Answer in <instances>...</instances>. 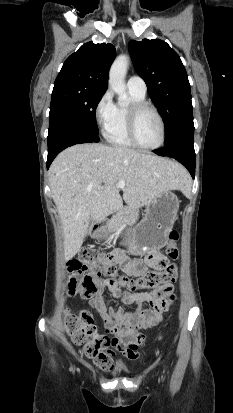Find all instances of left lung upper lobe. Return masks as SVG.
<instances>
[{"instance_id": "left-lung-upper-lobe-1", "label": "left lung upper lobe", "mask_w": 233, "mask_h": 413, "mask_svg": "<svg viewBox=\"0 0 233 413\" xmlns=\"http://www.w3.org/2000/svg\"><path fill=\"white\" fill-rule=\"evenodd\" d=\"M134 67L145 81L166 127V146L193 140L194 123L190 84L178 54L159 39L130 41Z\"/></svg>"}]
</instances>
